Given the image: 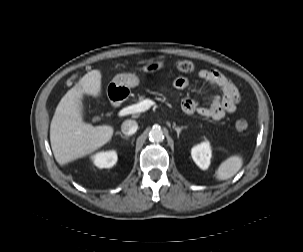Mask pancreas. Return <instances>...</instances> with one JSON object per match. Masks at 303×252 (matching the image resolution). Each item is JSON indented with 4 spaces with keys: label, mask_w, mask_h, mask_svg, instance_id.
Masks as SVG:
<instances>
[{
    "label": "pancreas",
    "mask_w": 303,
    "mask_h": 252,
    "mask_svg": "<svg viewBox=\"0 0 303 252\" xmlns=\"http://www.w3.org/2000/svg\"><path fill=\"white\" fill-rule=\"evenodd\" d=\"M143 100H145V96L144 95L139 96V101L141 102Z\"/></svg>",
    "instance_id": "obj_1"
}]
</instances>
